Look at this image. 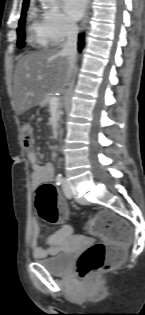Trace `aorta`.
I'll use <instances>...</instances> for the list:
<instances>
[{
	"instance_id": "aorta-1",
	"label": "aorta",
	"mask_w": 145,
	"mask_h": 315,
	"mask_svg": "<svg viewBox=\"0 0 145 315\" xmlns=\"http://www.w3.org/2000/svg\"><path fill=\"white\" fill-rule=\"evenodd\" d=\"M42 3L43 8L49 9L51 8L56 0H39Z\"/></svg>"
}]
</instances>
